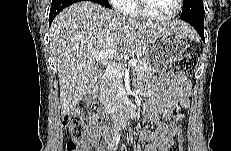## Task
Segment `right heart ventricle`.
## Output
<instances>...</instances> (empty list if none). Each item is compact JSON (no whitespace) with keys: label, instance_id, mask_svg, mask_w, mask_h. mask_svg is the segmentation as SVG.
I'll return each mask as SVG.
<instances>
[{"label":"right heart ventricle","instance_id":"right-heart-ventricle-1","mask_svg":"<svg viewBox=\"0 0 231 151\" xmlns=\"http://www.w3.org/2000/svg\"><path fill=\"white\" fill-rule=\"evenodd\" d=\"M125 12L128 13L132 17L138 16L136 8H135L134 4L132 3V1H127V9Z\"/></svg>","mask_w":231,"mask_h":151}]
</instances>
